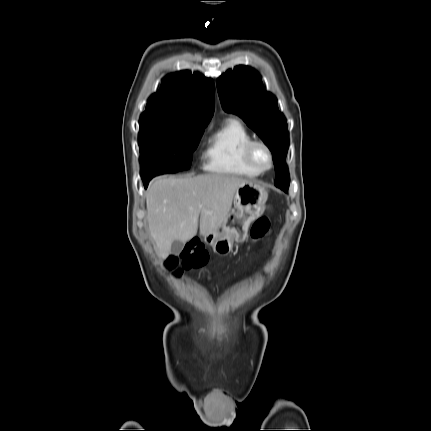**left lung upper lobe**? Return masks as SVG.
Instances as JSON below:
<instances>
[{"label": "left lung upper lobe", "instance_id": "5c2ea615", "mask_svg": "<svg viewBox=\"0 0 431 431\" xmlns=\"http://www.w3.org/2000/svg\"><path fill=\"white\" fill-rule=\"evenodd\" d=\"M217 88L224 110L239 115L271 150L275 185L287 192L290 184L286 165L288 125L276 98L265 90L260 75L243 65L222 74L217 79Z\"/></svg>", "mask_w": 431, "mask_h": 431}]
</instances>
